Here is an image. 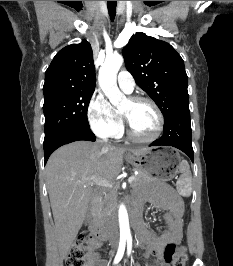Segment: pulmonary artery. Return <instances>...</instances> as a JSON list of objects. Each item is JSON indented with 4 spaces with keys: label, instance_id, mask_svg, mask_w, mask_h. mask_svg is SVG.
<instances>
[{
    "label": "pulmonary artery",
    "instance_id": "e3ab8cb5",
    "mask_svg": "<svg viewBox=\"0 0 233 266\" xmlns=\"http://www.w3.org/2000/svg\"><path fill=\"white\" fill-rule=\"evenodd\" d=\"M117 82L119 87L126 93H131L134 90L135 81L128 71H121L118 75Z\"/></svg>",
    "mask_w": 233,
    "mask_h": 266
}]
</instances>
